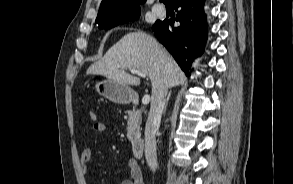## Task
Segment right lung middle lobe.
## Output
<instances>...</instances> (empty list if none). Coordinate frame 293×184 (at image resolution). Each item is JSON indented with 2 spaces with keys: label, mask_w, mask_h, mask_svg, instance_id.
I'll list each match as a JSON object with an SVG mask.
<instances>
[{
  "label": "right lung middle lobe",
  "mask_w": 293,
  "mask_h": 184,
  "mask_svg": "<svg viewBox=\"0 0 293 184\" xmlns=\"http://www.w3.org/2000/svg\"><path fill=\"white\" fill-rule=\"evenodd\" d=\"M139 16H140V13H137V14H134V15L129 16L127 18L115 21L113 23L101 25V26H99V28H101V29H110V28H113V27H115V26H117L119 24L127 23L129 21H135V20H137L139 18Z\"/></svg>",
  "instance_id": "1"
}]
</instances>
